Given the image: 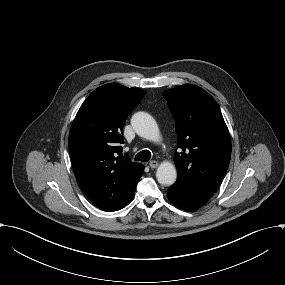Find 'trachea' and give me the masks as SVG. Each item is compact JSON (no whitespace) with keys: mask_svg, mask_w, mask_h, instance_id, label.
<instances>
[{"mask_svg":"<svg viewBox=\"0 0 285 285\" xmlns=\"http://www.w3.org/2000/svg\"><path fill=\"white\" fill-rule=\"evenodd\" d=\"M151 158V153L149 150H143L138 152L134 158L135 161L148 162Z\"/></svg>","mask_w":285,"mask_h":285,"instance_id":"3493384b","label":"trachea"}]
</instances>
